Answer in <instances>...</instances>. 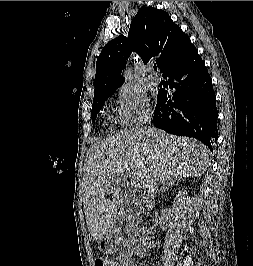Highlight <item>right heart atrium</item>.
Masks as SVG:
<instances>
[{
	"label": "right heart atrium",
	"instance_id": "1",
	"mask_svg": "<svg viewBox=\"0 0 253 266\" xmlns=\"http://www.w3.org/2000/svg\"><path fill=\"white\" fill-rule=\"evenodd\" d=\"M118 113L121 123L132 125L147 120L151 108L146 93L134 85H123L119 89Z\"/></svg>",
	"mask_w": 253,
	"mask_h": 266
}]
</instances>
